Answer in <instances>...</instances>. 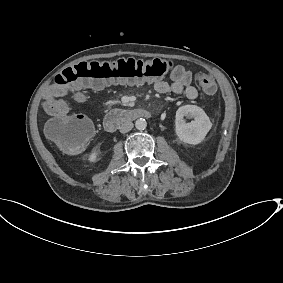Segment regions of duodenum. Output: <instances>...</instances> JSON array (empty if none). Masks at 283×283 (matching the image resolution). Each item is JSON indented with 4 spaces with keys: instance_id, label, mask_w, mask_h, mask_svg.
I'll use <instances>...</instances> for the list:
<instances>
[{
    "instance_id": "410a0bca",
    "label": "duodenum",
    "mask_w": 283,
    "mask_h": 283,
    "mask_svg": "<svg viewBox=\"0 0 283 283\" xmlns=\"http://www.w3.org/2000/svg\"><path fill=\"white\" fill-rule=\"evenodd\" d=\"M150 113L141 107L128 110H113L104 117L103 125L106 131L115 132L118 127L129 120L148 118Z\"/></svg>"
}]
</instances>
